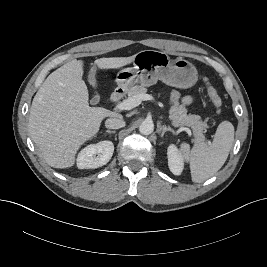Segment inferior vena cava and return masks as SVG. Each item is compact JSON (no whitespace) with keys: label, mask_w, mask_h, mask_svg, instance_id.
<instances>
[{"label":"inferior vena cava","mask_w":267,"mask_h":267,"mask_svg":"<svg viewBox=\"0 0 267 267\" xmlns=\"http://www.w3.org/2000/svg\"><path fill=\"white\" fill-rule=\"evenodd\" d=\"M108 129H119L125 126V121L121 117H111L105 121Z\"/></svg>","instance_id":"602c4592"}]
</instances>
